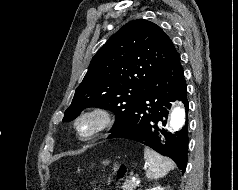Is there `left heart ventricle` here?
<instances>
[{
  "label": "left heart ventricle",
  "instance_id": "b2bd125f",
  "mask_svg": "<svg viewBox=\"0 0 238 190\" xmlns=\"http://www.w3.org/2000/svg\"><path fill=\"white\" fill-rule=\"evenodd\" d=\"M90 127H91V123L90 122L85 123V125H84L85 129H89Z\"/></svg>",
  "mask_w": 238,
  "mask_h": 190
}]
</instances>
